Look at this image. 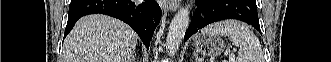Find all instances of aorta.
I'll return each instance as SVG.
<instances>
[{"mask_svg":"<svg viewBox=\"0 0 331 62\" xmlns=\"http://www.w3.org/2000/svg\"><path fill=\"white\" fill-rule=\"evenodd\" d=\"M189 20V10L187 8L180 9L174 16L166 38L169 56H174L178 51L189 26Z\"/></svg>","mask_w":331,"mask_h":62,"instance_id":"762f6f07","label":"aorta"}]
</instances>
